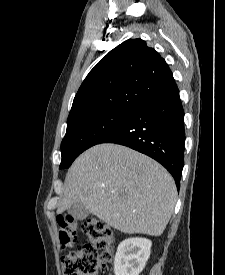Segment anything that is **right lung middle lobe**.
Masks as SVG:
<instances>
[{
	"label": "right lung middle lobe",
	"mask_w": 225,
	"mask_h": 275,
	"mask_svg": "<svg viewBox=\"0 0 225 275\" xmlns=\"http://www.w3.org/2000/svg\"><path fill=\"white\" fill-rule=\"evenodd\" d=\"M131 111H109L92 114L67 123L61 143L60 169L68 168L86 149L98 144L116 128Z\"/></svg>",
	"instance_id": "obj_1"
}]
</instances>
